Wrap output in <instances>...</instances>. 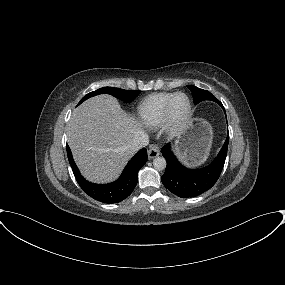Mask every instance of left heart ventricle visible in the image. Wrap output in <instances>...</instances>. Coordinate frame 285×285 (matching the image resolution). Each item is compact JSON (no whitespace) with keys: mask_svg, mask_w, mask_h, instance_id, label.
<instances>
[{"mask_svg":"<svg viewBox=\"0 0 285 285\" xmlns=\"http://www.w3.org/2000/svg\"><path fill=\"white\" fill-rule=\"evenodd\" d=\"M188 108V100L185 96L181 95L176 98L174 102V115L176 118H182Z\"/></svg>","mask_w":285,"mask_h":285,"instance_id":"b2bd125f","label":"left heart ventricle"}]
</instances>
